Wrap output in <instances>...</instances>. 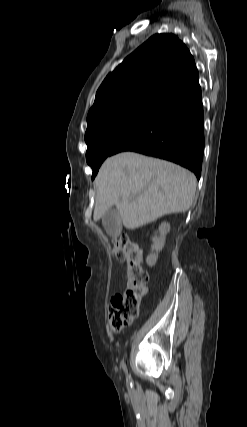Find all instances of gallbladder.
<instances>
[{
	"label": "gallbladder",
	"instance_id": "obj_1",
	"mask_svg": "<svg viewBox=\"0 0 247 427\" xmlns=\"http://www.w3.org/2000/svg\"><path fill=\"white\" fill-rule=\"evenodd\" d=\"M102 224L106 232L112 236L117 237L122 230L121 216L116 207L109 208L102 216Z\"/></svg>",
	"mask_w": 247,
	"mask_h": 427
}]
</instances>
